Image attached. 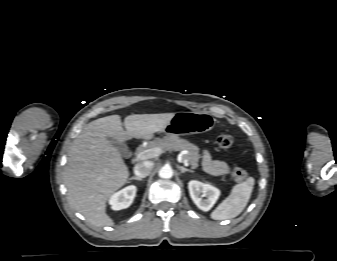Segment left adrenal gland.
Returning <instances> with one entry per match:
<instances>
[{
    "instance_id": "1",
    "label": "left adrenal gland",
    "mask_w": 337,
    "mask_h": 261,
    "mask_svg": "<svg viewBox=\"0 0 337 261\" xmlns=\"http://www.w3.org/2000/svg\"><path fill=\"white\" fill-rule=\"evenodd\" d=\"M179 169H180V173H182V174L185 173V172H191V173L194 172L193 170L187 169L183 166H180Z\"/></svg>"
}]
</instances>
